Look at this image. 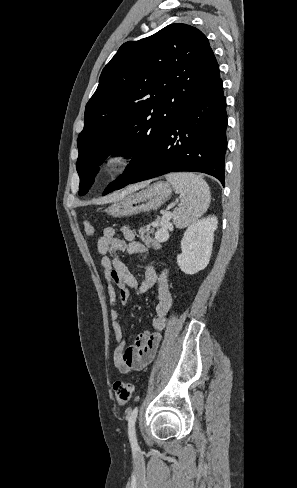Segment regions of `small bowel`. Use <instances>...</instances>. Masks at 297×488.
I'll return each mask as SVG.
<instances>
[{"label":"small bowel","mask_w":297,"mask_h":488,"mask_svg":"<svg viewBox=\"0 0 297 488\" xmlns=\"http://www.w3.org/2000/svg\"><path fill=\"white\" fill-rule=\"evenodd\" d=\"M97 252L101 256L100 268L106 279V288L110 300L109 316L111 328L115 335L114 365L121 374H129L146 367L155 357L161 340L160 331L165 327L168 315L173 306L169 272L163 268L160 274L156 267L162 263L153 261L139 282L121 262L120 253L147 255V246L136 240L135 232L130 226L118 228L107 227L97 240ZM157 285L158 302L155 306V317L151 331L136 338L134 345L126 347L122 327L118 322L120 313L118 303L127 305L131 300V290L145 293Z\"/></svg>","instance_id":"small-bowel-1"}]
</instances>
